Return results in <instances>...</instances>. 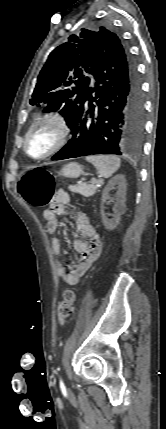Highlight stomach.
<instances>
[{"label": "stomach", "instance_id": "stomach-1", "mask_svg": "<svg viewBox=\"0 0 166 429\" xmlns=\"http://www.w3.org/2000/svg\"><path fill=\"white\" fill-rule=\"evenodd\" d=\"M83 173L82 165L71 162L63 166L60 174L66 178H77Z\"/></svg>", "mask_w": 166, "mask_h": 429}]
</instances>
